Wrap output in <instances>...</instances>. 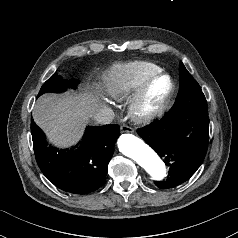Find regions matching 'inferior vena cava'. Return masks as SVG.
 <instances>
[{"label":"inferior vena cava","mask_w":238,"mask_h":238,"mask_svg":"<svg viewBox=\"0 0 238 238\" xmlns=\"http://www.w3.org/2000/svg\"><path fill=\"white\" fill-rule=\"evenodd\" d=\"M93 119L101 125L110 124L114 119V112L111 108L105 107L103 109L98 110L93 115Z\"/></svg>","instance_id":"obj_1"}]
</instances>
